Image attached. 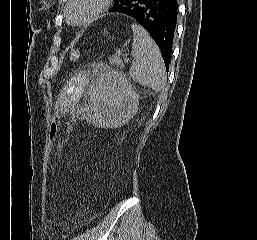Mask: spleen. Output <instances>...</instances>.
<instances>
[{
    "instance_id": "1",
    "label": "spleen",
    "mask_w": 257,
    "mask_h": 240,
    "mask_svg": "<svg viewBox=\"0 0 257 240\" xmlns=\"http://www.w3.org/2000/svg\"><path fill=\"white\" fill-rule=\"evenodd\" d=\"M131 28L133 31L131 55L134 61L129 70L130 76L140 85L156 92L164 90L165 65L158 46L140 25L132 24Z\"/></svg>"
}]
</instances>
